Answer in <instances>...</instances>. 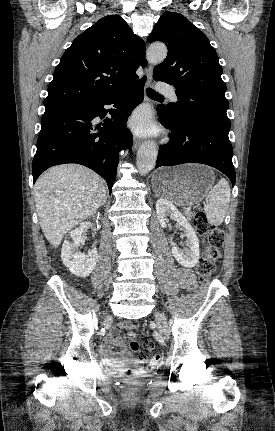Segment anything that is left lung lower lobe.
I'll use <instances>...</instances> for the list:
<instances>
[{"instance_id": "0a47b994", "label": "left lung lower lobe", "mask_w": 275, "mask_h": 431, "mask_svg": "<svg viewBox=\"0 0 275 431\" xmlns=\"http://www.w3.org/2000/svg\"><path fill=\"white\" fill-rule=\"evenodd\" d=\"M162 124L172 131L170 141L159 148L157 164L174 166L184 163H202L223 172L235 184L232 163V145L228 138L229 128L194 121H178L169 118L158 106Z\"/></svg>"}]
</instances>
